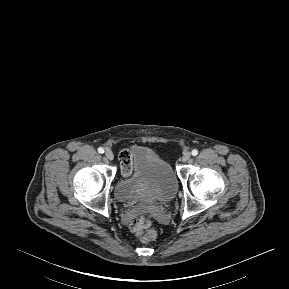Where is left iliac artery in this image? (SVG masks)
I'll return each instance as SVG.
<instances>
[{
	"instance_id": "1",
	"label": "left iliac artery",
	"mask_w": 289,
	"mask_h": 289,
	"mask_svg": "<svg viewBox=\"0 0 289 289\" xmlns=\"http://www.w3.org/2000/svg\"><path fill=\"white\" fill-rule=\"evenodd\" d=\"M191 153H192L193 156H196L198 154V150L197 149H193Z\"/></svg>"
}]
</instances>
